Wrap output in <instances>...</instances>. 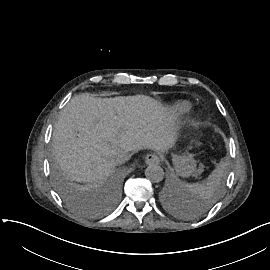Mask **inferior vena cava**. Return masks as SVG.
I'll return each mask as SVG.
<instances>
[{
  "instance_id": "obj_1",
  "label": "inferior vena cava",
  "mask_w": 270,
  "mask_h": 270,
  "mask_svg": "<svg viewBox=\"0 0 270 270\" xmlns=\"http://www.w3.org/2000/svg\"><path fill=\"white\" fill-rule=\"evenodd\" d=\"M130 158H131V154L129 152L120 150L117 153V159L119 160L121 164L128 161Z\"/></svg>"
}]
</instances>
